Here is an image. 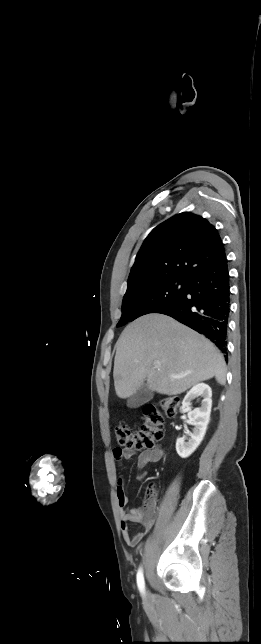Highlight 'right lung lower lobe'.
I'll return each mask as SVG.
<instances>
[{
	"label": "right lung lower lobe",
	"mask_w": 261,
	"mask_h": 644,
	"mask_svg": "<svg viewBox=\"0 0 261 644\" xmlns=\"http://www.w3.org/2000/svg\"><path fill=\"white\" fill-rule=\"evenodd\" d=\"M228 261L198 270L186 279L184 295L156 313L165 314L210 339L226 353L230 312Z\"/></svg>",
	"instance_id": "98d812e1"
}]
</instances>
